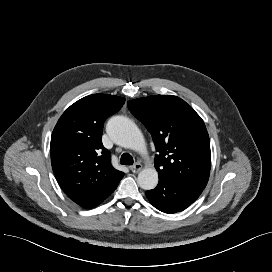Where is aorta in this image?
<instances>
[{
	"label": "aorta",
	"mask_w": 272,
	"mask_h": 272,
	"mask_svg": "<svg viewBox=\"0 0 272 272\" xmlns=\"http://www.w3.org/2000/svg\"><path fill=\"white\" fill-rule=\"evenodd\" d=\"M106 131L111 139L118 145L143 151L145 141L142 132L137 125L124 116L112 117L107 125ZM158 173L155 168H144L138 174L137 183L144 190H151L158 184Z\"/></svg>",
	"instance_id": "1"
}]
</instances>
